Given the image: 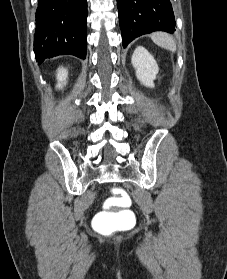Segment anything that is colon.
Instances as JSON below:
<instances>
[{
	"instance_id": "1",
	"label": "colon",
	"mask_w": 227,
	"mask_h": 279,
	"mask_svg": "<svg viewBox=\"0 0 227 279\" xmlns=\"http://www.w3.org/2000/svg\"><path fill=\"white\" fill-rule=\"evenodd\" d=\"M111 201L118 205L116 209L103 211L98 216V227L103 232L120 229L128 219V209L122 206L130 201V195L119 188H111Z\"/></svg>"
}]
</instances>
